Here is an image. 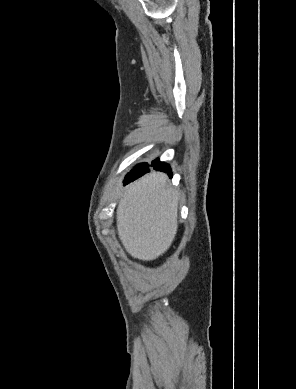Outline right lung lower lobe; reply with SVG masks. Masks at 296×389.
Instances as JSON below:
<instances>
[{
  "instance_id": "right-lung-lower-lobe-1",
  "label": "right lung lower lobe",
  "mask_w": 296,
  "mask_h": 389,
  "mask_svg": "<svg viewBox=\"0 0 296 389\" xmlns=\"http://www.w3.org/2000/svg\"><path fill=\"white\" fill-rule=\"evenodd\" d=\"M149 165L145 168H134L125 178L124 180V184H128L129 182H132L134 181L135 179H137L138 177L144 175L145 173L149 172V169H148ZM152 167L155 169V170H159V171H163V172H167L168 175L170 177L171 176V170H170V166L168 164H164L163 162H160L158 159H156L155 161H152Z\"/></svg>"
}]
</instances>
